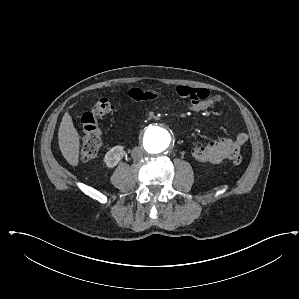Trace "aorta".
Returning <instances> with one entry per match:
<instances>
[{
    "label": "aorta",
    "instance_id": "aorta-1",
    "mask_svg": "<svg viewBox=\"0 0 299 299\" xmlns=\"http://www.w3.org/2000/svg\"><path fill=\"white\" fill-rule=\"evenodd\" d=\"M142 143L147 154L157 156L169 148L171 135L161 126H149L144 133Z\"/></svg>",
    "mask_w": 299,
    "mask_h": 299
}]
</instances>
